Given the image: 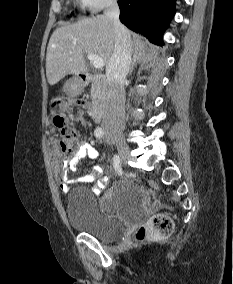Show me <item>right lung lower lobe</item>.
Masks as SVG:
<instances>
[{
  "label": "right lung lower lobe",
  "instance_id": "98d812e1",
  "mask_svg": "<svg viewBox=\"0 0 233 284\" xmlns=\"http://www.w3.org/2000/svg\"><path fill=\"white\" fill-rule=\"evenodd\" d=\"M175 2L176 0H118L120 21L151 42L163 45L162 36L175 14Z\"/></svg>",
  "mask_w": 233,
  "mask_h": 284
}]
</instances>
